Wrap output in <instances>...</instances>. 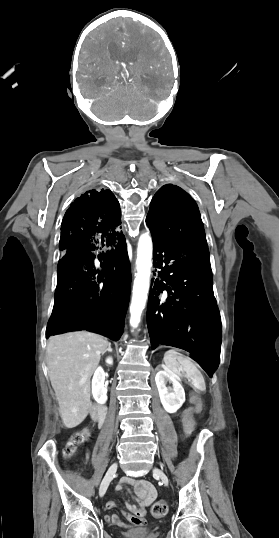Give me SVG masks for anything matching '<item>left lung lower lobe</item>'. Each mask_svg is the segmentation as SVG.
<instances>
[{"instance_id": "1", "label": "left lung lower lobe", "mask_w": 279, "mask_h": 538, "mask_svg": "<svg viewBox=\"0 0 279 538\" xmlns=\"http://www.w3.org/2000/svg\"><path fill=\"white\" fill-rule=\"evenodd\" d=\"M153 243L154 266L160 270L148 301L151 348L184 349L212 377L220 362L222 331L208 248Z\"/></svg>"}]
</instances>
